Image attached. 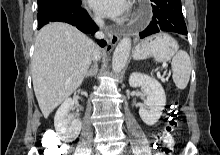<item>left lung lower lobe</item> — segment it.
<instances>
[{"instance_id":"left-lung-lower-lobe-1","label":"left lung lower lobe","mask_w":220,"mask_h":155,"mask_svg":"<svg viewBox=\"0 0 220 155\" xmlns=\"http://www.w3.org/2000/svg\"><path fill=\"white\" fill-rule=\"evenodd\" d=\"M153 17L149 26L139 36L170 31L187 35V28L181 9V0H152Z\"/></svg>"}]
</instances>
